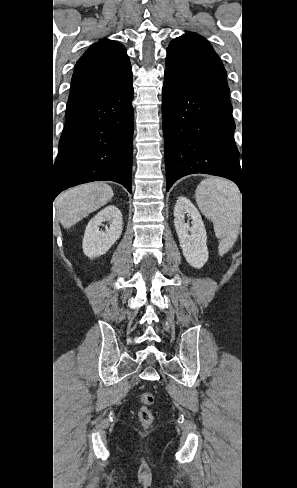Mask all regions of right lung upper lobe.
<instances>
[{"instance_id":"obj_1","label":"right lung upper lobe","mask_w":297,"mask_h":488,"mask_svg":"<svg viewBox=\"0 0 297 488\" xmlns=\"http://www.w3.org/2000/svg\"><path fill=\"white\" fill-rule=\"evenodd\" d=\"M131 74L122 44L109 39L93 44L75 65L66 112L100 96Z\"/></svg>"}]
</instances>
